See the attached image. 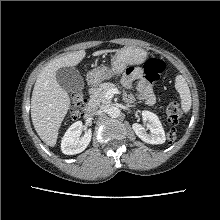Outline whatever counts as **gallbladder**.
Listing matches in <instances>:
<instances>
[{
    "mask_svg": "<svg viewBox=\"0 0 220 220\" xmlns=\"http://www.w3.org/2000/svg\"><path fill=\"white\" fill-rule=\"evenodd\" d=\"M59 85L71 93H80L84 88V81L80 72L75 67H62L56 71Z\"/></svg>",
    "mask_w": 220,
    "mask_h": 220,
    "instance_id": "obj_1",
    "label": "gallbladder"
}]
</instances>
